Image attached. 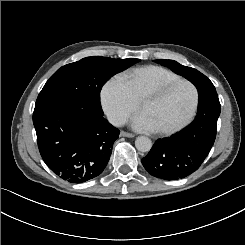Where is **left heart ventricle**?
<instances>
[{"label":"left heart ventricle","instance_id":"1","mask_svg":"<svg viewBox=\"0 0 245 245\" xmlns=\"http://www.w3.org/2000/svg\"><path fill=\"white\" fill-rule=\"evenodd\" d=\"M190 105L189 87L179 85L164 94L158 92L151 94L138 109L156 129H163L179 123L188 113Z\"/></svg>","mask_w":245,"mask_h":245}]
</instances>
